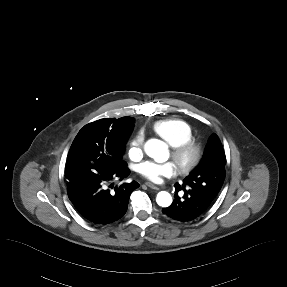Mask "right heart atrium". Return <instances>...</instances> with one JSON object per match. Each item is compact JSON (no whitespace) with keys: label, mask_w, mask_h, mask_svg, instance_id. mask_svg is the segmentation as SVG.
<instances>
[{"label":"right heart atrium","mask_w":287,"mask_h":287,"mask_svg":"<svg viewBox=\"0 0 287 287\" xmlns=\"http://www.w3.org/2000/svg\"><path fill=\"white\" fill-rule=\"evenodd\" d=\"M144 138L141 133L133 137L129 144L128 154L131 159L138 160L143 154Z\"/></svg>","instance_id":"right-heart-atrium-1"}]
</instances>
